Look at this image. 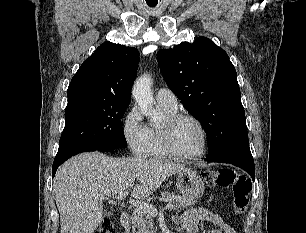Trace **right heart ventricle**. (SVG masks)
I'll list each match as a JSON object with an SVG mask.
<instances>
[{
	"instance_id": "e07e8e85",
	"label": "right heart ventricle",
	"mask_w": 306,
	"mask_h": 233,
	"mask_svg": "<svg viewBox=\"0 0 306 233\" xmlns=\"http://www.w3.org/2000/svg\"><path fill=\"white\" fill-rule=\"evenodd\" d=\"M160 108L163 110V112L167 115V117H170L174 114H176L177 109H169L167 107H164L162 105H159ZM151 132V149H150V155L155 158H166L170 156L168 151L165 148L164 141H163V135H162V128L161 127H152L150 128Z\"/></svg>"
}]
</instances>
